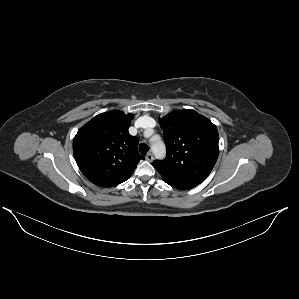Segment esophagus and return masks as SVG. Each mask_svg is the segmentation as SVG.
Segmentation results:
<instances>
[{"mask_svg":"<svg viewBox=\"0 0 299 299\" xmlns=\"http://www.w3.org/2000/svg\"><path fill=\"white\" fill-rule=\"evenodd\" d=\"M146 160L149 161V162H152L153 161V154L152 153H148L146 156H145Z\"/></svg>","mask_w":299,"mask_h":299,"instance_id":"1","label":"esophagus"}]
</instances>
